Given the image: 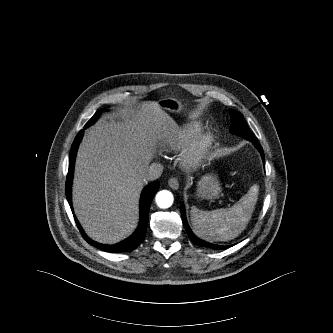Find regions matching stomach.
<instances>
[{
  "mask_svg": "<svg viewBox=\"0 0 333 333\" xmlns=\"http://www.w3.org/2000/svg\"><path fill=\"white\" fill-rule=\"evenodd\" d=\"M159 106L170 112H181L183 110L182 103L175 98L160 99ZM221 186L216 176L205 175L197 184L196 195L201 199H214L219 196Z\"/></svg>",
  "mask_w": 333,
  "mask_h": 333,
  "instance_id": "obj_1",
  "label": "stomach"
}]
</instances>
